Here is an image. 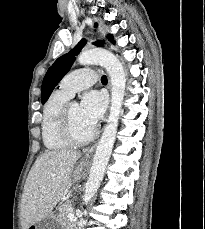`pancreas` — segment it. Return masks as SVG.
Returning a JSON list of instances; mask_svg holds the SVG:
<instances>
[{"label":"pancreas","mask_w":205,"mask_h":229,"mask_svg":"<svg viewBox=\"0 0 205 229\" xmlns=\"http://www.w3.org/2000/svg\"><path fill=\"white\" fill-rule=\"evenodd\" d=\"M72 210V204L69 202L64 204L63 207L59 210L57 218L62 226V229H77L76 222L69 220L67 217L68 214L72 213Z\"/></svg>","instance_id":"obj_1"}]
</instances>
